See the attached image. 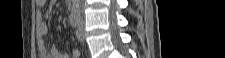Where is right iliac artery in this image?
<instances>
[{
	"label": "right iliac artery",
	"instance_id": "82829eb1",
	"mask_svg": "<svg viewBox=\"0 0 225 58\" xmlns=\"http://www.w3.org/2000/svg\"><path fill=\"white\" fill-rule=\"evenodd\" d=\"M71 25L73 28H76L78 25V17L75 14L71 18Z\"/></svg>",
	"mask_w": 225,
	"mask_h": 58
}]
</instances>
